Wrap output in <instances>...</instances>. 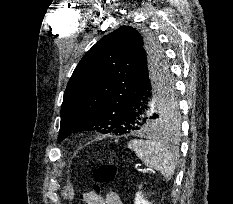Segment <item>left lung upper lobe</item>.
Returning <instances> with one entry per match:
<instances>
[{"mask_svg":"<svg viewBox=\"0 0 233 204\" xmlns=\"http://www.w3.org/2000/svg\"><path fill=\"white\" fill-rule=\"evenodd\" d=\"M142 53L162 55L166 62L153 36L130 26H121L104 36L86 53L64 92L58 141L79 131L125 133L115 124V118ZM154 112L158 130L170 132L179 128L180 114L173 79L159 96Z\"/></svg>","mask_w":233,"mask_h":204,"instance_id":"1","label":"left lung upper lobe"}]
</instances>
